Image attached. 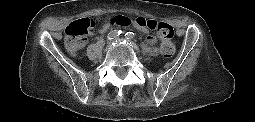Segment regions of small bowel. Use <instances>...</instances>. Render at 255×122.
<instances>
[{
	"label": "small bowel",
	"mask_w": 255,
	"mask_h": 122,
	"mask_svg": "<svg viewBox=\"0 0 255 122\" xmlns=\"http://www.w3.org/2000/svg\"><path fill=\"white\" fill-rule=\"evenodd\" d=\"M115 23L112 21V19L107 20L100 28H99V33L103 34L106 33ZM146 41L148 44H155L157 41V38L153 35H148L146 37Z\"/></svg>",
	"instance_id": "c3829d8e"
}]
</instances>
